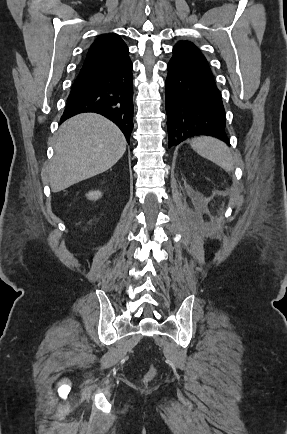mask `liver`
<instances>
[{"label": "liver", "instance_id": "6515ba94", "mask_svg": "<svg viewBox=\"0 0 287 434\" xmlns=\"http://www.w3.org/2000/svg\"><path fill=\"white\" fill-rule=\"evenodd\" d=\"M126 144L120 129L101 115L84 113L68 119L58 130L48 169L52 191L107 171L123 156Z\"/></svg>", "mask_w": 287, "mask_h": 434}]
</instances>
